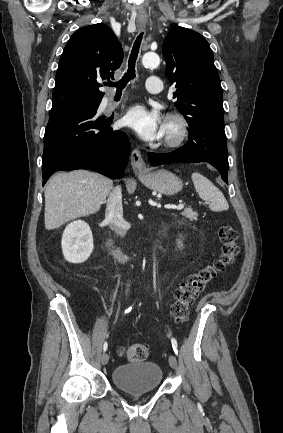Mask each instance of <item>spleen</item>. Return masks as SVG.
Segmentation results:
<instances>
[{
  "label": "spleen",
  "mask_w": 283,
  "mask_h": 433,
  "mask_svg": "<svg viewBox=\"0 0 283 433\" xmlns=\"http://www.w3.org/2000/svg\"><path fill=\"white\" fill-rule=\"evenodd\" d=\"M191 178L200 198H203V200H209V208H211V210H214V212H219V210H228L229 204L223 192H221L217 186H214L211 180H208V178L203 176V174H200V172H192Z\"/></svg>",
  "instance_id": "obj_1"
}]
</instances>
